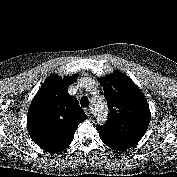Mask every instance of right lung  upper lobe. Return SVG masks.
Listing matches in <instances>:
<instances>
[{"label":"right lung upper lobe","mask_w":177,"mask_h":177,"mask_svg":"<svg viewBox=\"0 0 177 177\" xmlns=\"http://www.w3.org/2000/svg\"><path fill=\"white\" fill-rule=\"evenodd\" d=\"M77 78L50 76L33 98L27 116V129L33 141L41 145H52L57 152L66 149L73 141L79 123L87 115L77 99L67 89Z\"/></svg>","instance_id":"cb5924a9"}]
</instances>
